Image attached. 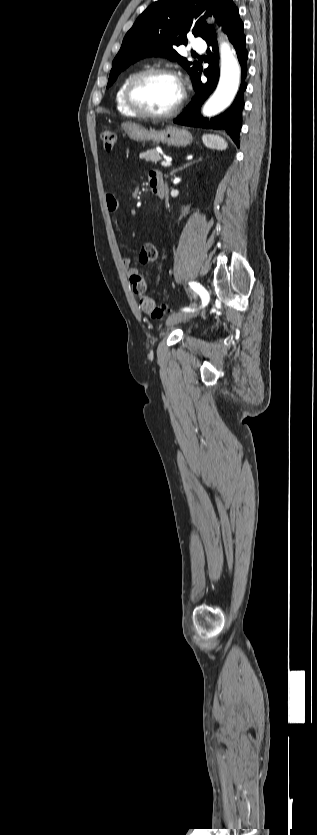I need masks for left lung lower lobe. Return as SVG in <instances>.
I'll list each match as a JSON object with an SVG mask.
<instances>
[{"label": "left lung lower lobe", "mask_w": 317, "mask_h": 835, "mask_svg": "<svg viewBox=\"0 0 317 835\" xmlns=\"http://www.w3.org/2000/svg\"><path fill=\"white\" fill-rule=\"evenodd\" d=\"M227 15V21L223 26L224 32L227 33L229 40L236 49L238 60L241 65L242 83L239 92L233 104L223 114L214 118H203L199 114V109L207 97L215 89L219 78V55L216 35L211 36L206 42L211 49H208L206 62L209 63L207 69L204 70V75L207 77V82L202 83L200 80L202 67L199 65L196 73L192 77L193 86L195 89V96L188 105L187 109L176 119L174 123L201 127L206 129L226 130L233 141L239 146V133L242 126V109L244 107L243 93L246 90L247 84L244 82L247 73V59L248 52L246 50V38L244 35L243 22L239 17L238 8L232 0H229L224 9Z\"/></svg>", "instance_id": "1"}]
</instances>
